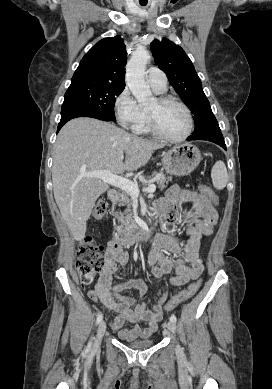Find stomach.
I'll use <instances>...</instances> for the list:
<instances>
[{
    "mask_svg": "<svg viewBox=\"0 0 272 389\" xmlns=\"http://www.w3.org/2000/svg\"><path fill=\"white\" fill-rule=\"evenodd\" d=\"M201 158L199 149L194 145H177L162 154V169L170 175L186 176L199 165Z\"/></svg>",
    "mask_w": 272,
    "mask_h": 389,
    "instance_id": "obj_1",
    "label": "stomach"
}]
</instances>
